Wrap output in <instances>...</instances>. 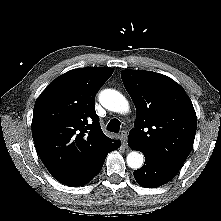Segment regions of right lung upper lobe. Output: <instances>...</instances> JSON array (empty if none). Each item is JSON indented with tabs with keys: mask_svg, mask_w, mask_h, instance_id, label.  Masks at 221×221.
<instances>
[{
	"mask_svg": "<svg viewBox=\"0 0 221 221\" xmlns=\"http://www.w3.org/2000/svg\"><path fill=\"white\" fill-rule=\"evenodd\" d=\"M113 71L70 70L53 80L35 102L34 144L45 167L61 183L117 142L101 130L94 107L96 92Z\"/></svg>",
	"mask_w": 221,
	"mask_h": 221,
	"instance_id": "cb5924a9",
	"label": "right lung upper lobe"
}]
</instances>
